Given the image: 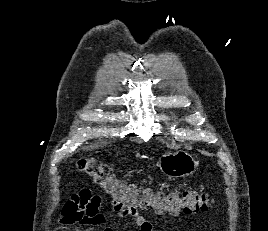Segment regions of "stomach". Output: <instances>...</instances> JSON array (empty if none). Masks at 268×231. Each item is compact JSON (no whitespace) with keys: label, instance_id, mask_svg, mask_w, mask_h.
<instances>
[{"label":"stomach","instance_id":"0dacf381","mask_svg":"<svg viewBox=\"0 0 268 231\" xmlns=\"http://www.w3.org/2000/svg\"><path fill=\"white\" fill-rule=\"evenodd\" d=\"M198 166L199 161L183 150L167 152L159 161L161 172L170 178L190 176L196 172Z\"/></svg>","mask_w":268,"mask_h":231}]
</instances>
